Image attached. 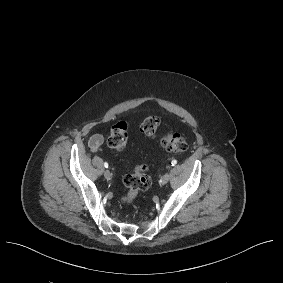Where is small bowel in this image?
I'll list each match as a JSON object with an SVG mask.
<instances>
[{
    "mask_svg": "<svg viewBox=\"0 0 283 283\" xmlns=\"http://www.w3.org/2000/svg\"><path fill=\"white\" fill-rule=\"evenodd\" d=\"M103 144L104 137L101 134H95L89 140V147L92 151H97Z\"/></svg>",
    "mask_w": 283,
    "mask_h": 283,
    "instance_id": "obj_1",
    "label": "small bowel"
}]
</instances>
